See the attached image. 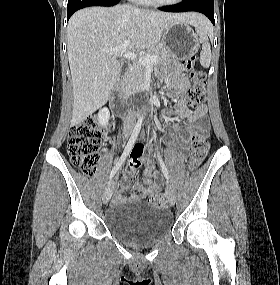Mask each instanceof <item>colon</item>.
Here are the masks:
<instances>
[{"mask_svg": "<svg viewBox=\"0 0 280 285\" xmlns=\"http://www.w3.org/2000/svg\"><path fill=\"white\" fill-rule=\"evenodd\" d=\"M196 59L190 57L185 60L184 68L190 74L192 84L187 90V102L197 107L203 102L206 93V75L202 71L194 69ZM113 128V123H109L108 129ZM105 128L99 125L97 119L91 118L75 124L71 130L68 140V154L71 163L80 169L85 175L92 176L96 172V165L99 153L104 143ZM142 149H135L131 153V159L138 160L142 154ZM209 151L207 134L195 133L191 138L190 144V165L195 168L201 164ZM146 177H150V170L144 171ZM155 203L166 201L163 193L155 194L150 197Z\"/></svg>", "mask_w": 280, "mask_h": 285, "instance_id": "colon-1", "label": "colon"}]
</instances>
